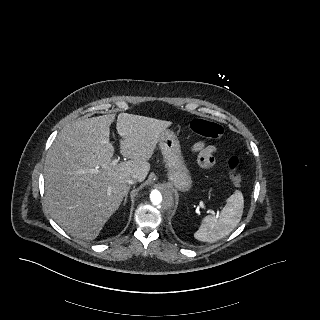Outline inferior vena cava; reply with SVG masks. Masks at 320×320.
I'll use <instances>...</instances> for the list:
<instances>
[{
	"label": "inferior vena cava",
	"mask_w": 320,
	"mask_h": 320,
	"mask_svg": "<svg viewBox=\"0 0 320 320\" xmlns=\"http://www.w3.org/2000/svg\"><path fill=\"white\" fill-rule=\"evenodd\" d=\"M137 182V177L135 175L133 176H129L127 179H126V183L127 184H134Z\"/></svg>",
	"instance_id": "inferior-vena-cava-1"
}]
</instances>
